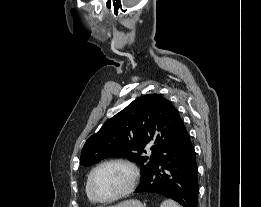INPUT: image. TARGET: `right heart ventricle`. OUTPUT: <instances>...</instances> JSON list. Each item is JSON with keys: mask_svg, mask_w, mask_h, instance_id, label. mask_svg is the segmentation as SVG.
<instances>
[{"mask_svg": "<svg viewBox=\"0 0 261 207\" xmlns=\"http://www.w3.org/2000/svg\"><path fill=\"white\" fill-rule=\"evenodd\" d=\"M85 192H86V196H87L88 200H89L91 203H94L95 201L92 199V197H91L90 194H89L87 182H86V185H85Z\"/></svg>", "mask_w": 261, "mask_h": 207, "instance_id": "1", "label": "right heart ventricle"}]
</instances>
